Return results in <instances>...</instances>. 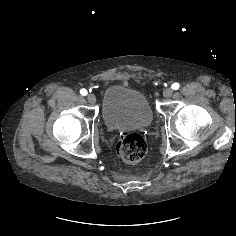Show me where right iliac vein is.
Wrapping results in <instances>:
<instances>
[{"label": "right iliac vein", "instance_id": "obj_1", "mask_svg": "<svg viewBox=\"0 0 236 236\" xmlns=\"http://www.w3.org/2000/svg\"><path fill=\"white\" fill-rule=\"evenodd\" d=\"M87 100L89 103L94 104L96 102V97L94 94H88L87 95Z\"/></svg>", "mask_w": 236, "mask_h": 236}]
</instances>
